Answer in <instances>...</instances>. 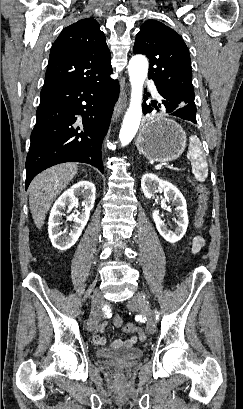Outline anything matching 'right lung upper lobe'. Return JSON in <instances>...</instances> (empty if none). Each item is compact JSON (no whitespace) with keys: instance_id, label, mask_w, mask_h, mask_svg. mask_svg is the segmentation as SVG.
Wrapping results in <instances>:
<instances>
[{"instance_id":"obj_1","label":"right lung upper lobe","mask_w":243,"mask_h":409,"mask_svg":"<svg viewBox=\"0 0 243 409\" xmlns=\"http://www.w3.org/2000/svg\"><path fill=\"white\" fill-rule=\"evenodd\" d=\"M110 61L98 22L79 20L66 27L52 45L43 89L98 80L112 71Z\"/></svg>"}]
</instances>
